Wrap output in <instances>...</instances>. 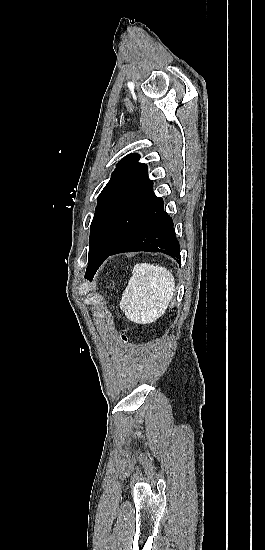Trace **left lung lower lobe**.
<instances>
[{
  "instance_id": "0a47b994",
  "label": "left lung lower lobe",
  "mask_w": 265,
  "mask_h": 550,
  "mask_svg": "<svg viewBox=\"0 0 265 550\" xmlns=\"http://www.w3.org/2000/svg\"><path fill=\"white\" fill-rule=\"evenodd\" d=\"M161 200L106 253L91 251L85 278L92 280L100 265L110 256L122 252H163L181 263L180 246L175 237L172 219L164 211Z\"/></svg>"
}]
</instances>
